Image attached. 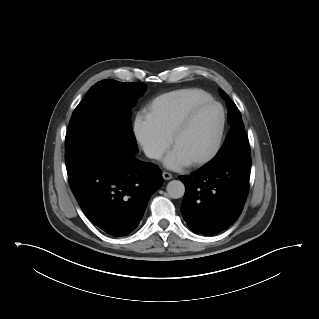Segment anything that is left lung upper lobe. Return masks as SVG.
I'll return each instance as SVG.
<instances>
[{
    "label": "left lung upper lobe",
    "instance_id": "obj_1",
    "mask_svg": "<svg viewBox=\"0 0 319 319\" xmlns=\"http://www.w3.org/2000/svg\"><path fill=\"white\" fill-rule=\"evenodd\" d=\"M221 95L226 101L228 108V124L230 131L225 138V142L213 160H219L230 154H250L248 138L241 118L240 111L230 97L221 90Z\"/></svg>",
    "mask_w": 319,
    "mask_h": 319
}]
</instances>
